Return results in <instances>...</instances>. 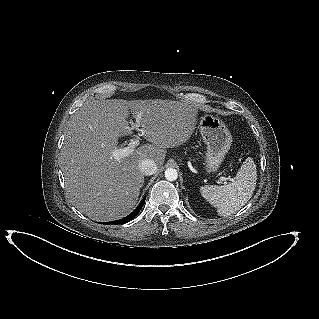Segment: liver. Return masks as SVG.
Segmentation results:
<instances>
[{"label":"liver","instance_id":"liver-1","mask_svg":"<svg viewBox=\"0 0 319 319\" xmlns=\"http://www.w3.org/2000/svg\"><path fill=\"white\" fill-rule=\"evenodd\" d=\"M129 112L135 120L141 114L135 128L152 144L142 145L117 161L112 152L119 137L131 135L133 130ZM196 116V106L187 101H86L71 117L60 153L70 203L99 222L127 216L144 184L140 162L151 159L161 168L166 149L185 143L193 134Z\"/></svg>","mask_w":319,"mask_h":319}]
</instances>
